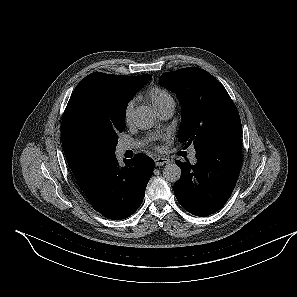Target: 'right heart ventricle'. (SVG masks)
Listing matches in <instances>:
<instances>
[{
	"mask_svg": "<svg viewBox=\"0 0 297 297\" xmlns=\"http://www.w3.org/2000/svg\"><path fill=\"white\" fill-rule=\"evenodd\" d=\"M147 97L158 110L168 101L173 100L168 91L159 87H152L149 89Z\"/></svg>",
	"mask_w": 297,
	"mask_h": 297,
	"instance_id": "1",
	"label": "right heart ventricle"
}]
</instances>
